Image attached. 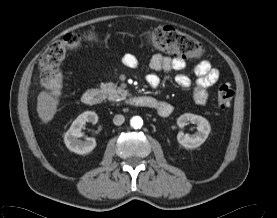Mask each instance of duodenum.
<instances>
[{"label":"duodenum","mask_w":277,"mask_h":218,"mask_svg":"<svg viewBox=\"0 0 277 218\" xmlns=\"http://www.w3.org/2000/svg\"><path fill=\"white\" fill-rule=\"evenodd\" d=\"M82 101L86 105H98L102 102V94L97 88H89L87 89L82 96ZM163 101H160L149 95H135L128 100V104L135 107H143L157 110L162 107ZM171 113V112H170ZM169 107H167V114L161 116H168Z\"/></svg>","instance_id":"duodenum-1"}]
</instances>
